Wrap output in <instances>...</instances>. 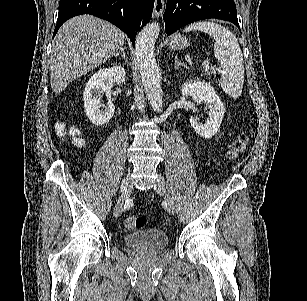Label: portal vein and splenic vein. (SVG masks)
<instances>
[{
  "instance_id": "obj_1",
  "label": "portal vein and splenic vein",
  "mask_w": 307,
  "mask_h": 301,
  "mask_svg": "<svg viewBox=\"0 0 307 301\" xmlns=\"http://www.w3.org/2000/svg\"><path fill=\"white\" fill-rule=\"evenodd\" d=\"M202 66H203V70H208V68H210V64L208 60H204V62H202Z\"/></svg>"
}]
</instances>
